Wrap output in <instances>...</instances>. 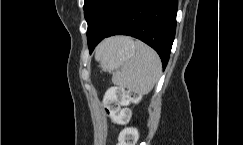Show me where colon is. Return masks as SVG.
I'll list each match as a JSON object with an SVG mask.
<instances>
[{"label":"colon","instance_id":"1","mask_svg":"<svg viewBox=\"0 0 243 145\" xmlns=\"http://www.w3.org/2000/svg\"><path fill=\"white\" fill-rule=\"evenodd\" d=\"M141 95L135 90L125 91L120 87L110 88L104 98V110L113 115L115 122L123 124L128 121L129 113L127 110L118 112L119 106L126 103L139 102ZM138 139V132L135 128L124 129L120 135L117 145H135Z\"/></svg>","mask_w":243,"mask_h":145}]
</instances>
